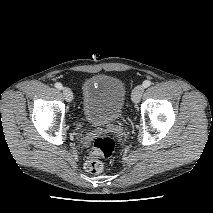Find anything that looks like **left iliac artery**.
Segmentation results:
<instances>
[{
    "mask_svg": "<svg viewBox=\"0 0 213 213\" xmlns=\"http://www.w3.org/2000/svg\"><path fill=\"white\" fill-rule=\"evenodd\" d=\"M151 85V81H149V80H145L144 82H143V87L144 88H147V87H149Z\"/></svg>",
    "mask_w": 213,
    "mask_h": 213,
    "instance_id": "left-iliac-artery-1",
    "label": "left iliac artery"
}]
</instances>
